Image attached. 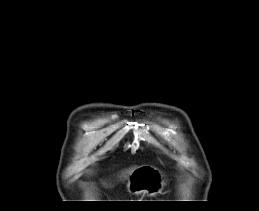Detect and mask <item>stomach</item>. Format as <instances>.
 Returning a JSON list of instances; mask_svg holds the SVG:
<instances>
[{
  "label": "stomach",
  "mask_w": 259,
  "mask_h": 211,
  "mask_svg": "<svg viewBox=\"0 0 259 211\" xmlns=\"http://www.w3.org/2000/svg\"><path fill=\"white\" fill-rule=\"evenodd\" d=\"M165 185L163 175L154 166L144 165L137 167L130 174L127 190L131 194L157 195L162 192Z\"/></svg>",
  "instance_id": "1"
}]
</instances>
